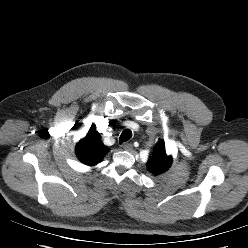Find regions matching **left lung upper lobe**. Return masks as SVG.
<instances>
[{
  "instance_id": "obj_1",
  "label": "left lung upper lobe",
  "mask_w": 248,
  "mask_h": 248,
  "mask_svg": "<svg viewBox=\"0 0 248 248\" xmlns=\"http://www.w3.org/2000/svg\"><path fill=\"white\" fill-rule=\"evenodd\" d=\"M172 164V157L167 156L165 151V144L159 141L153 150V155L147 162L148 171L154 175L162 174L167 171Z\"/></svg>"
}]
</instances>
